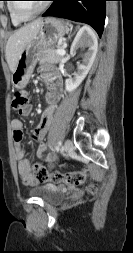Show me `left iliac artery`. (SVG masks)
<instances>
[{"instance_id": "left-iliac-artery-1", "label": "left iliac artery", "mask_w": 133, "mask_h": 253, "mask_svg": "<svg viewBox=\"0 0 133 253\" xmlns=\"http://www.w3.org/2000/svg\"><path fill=\"white\" fill-rule=\"evenodd\" d=\"M60 147H61V142H58V145L55 148L57 152L60 150Z\"/></svg>"}]
</instances>
